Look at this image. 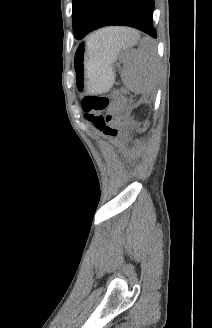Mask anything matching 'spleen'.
Segmentation results:
<instances>
[{
  "instance_id": "obj_1",
  "label": "spleen",
  "mask_w": 212,
  "mask_h": 328,
  "mask_svg": "<svg viewBox=\"0 0 212 328\" xmlns=\"http://www.w3.org/2000/svg\"><path fill=\"white\" fill-rule=\"evenodd\" d=\"M109 28L97 31L87 41V47L95 54H105L109 59H117L119 48L128 45L113 46L108 37ZM139 39V37H138ZM137 39V40H138ZM125 69L121 74L128 89L137 94H150L157 86L158 59L152 40L145 37L139 47L126 53L123 59Z\"/></svg>"
}]
</instances>
